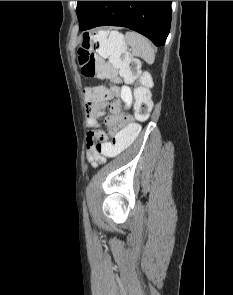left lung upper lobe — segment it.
<instances>
[{
	"mask_svg": "<svg viewBox=\"0 0 233 295\" xmlns=\"http://www.w3.org/2000/svg\"><path fill=\"white\" fill-rule=\"evenodd\" d=\"M76 13L80 28L87 22L98 1H77Z\"/></svg>",
	"mask_w": 233,
	"mask_h": 295,
	"instance_id": "left-lung-upper-lobe-1",
	"label": "left lung upper lobe"
}]
</instances>
